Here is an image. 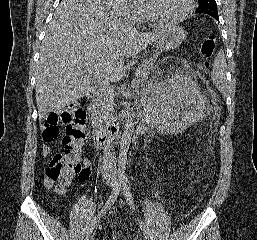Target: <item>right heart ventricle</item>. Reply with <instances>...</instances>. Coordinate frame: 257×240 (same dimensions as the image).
I'll list each match as a JSON object with an SVG mask.
<instances>
[{
  "label": "right heart ventricle",
  "instance_id": "e07e8e85",
  "mask_svg": "<svg viewBox=\"0 0 257 240\" xmlns=\"http://www.w3.org/2000/svg\"><path fill=\"white\" fill-rule=\"evenodd\" d=\"M141 5H142V4H141ZM142 6H143V5H142ZM143 8H144V7H143ZM140 21H141V22H149V21H151L150 18L148 17V15H147V12L145 11V9H144V12H143V15H142Z\"/></svg>",
  "mask_w": 257,
  "mask_h": 240
}]
</instances>
